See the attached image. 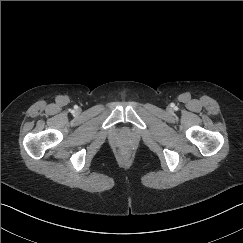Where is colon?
Returning a JSON list of instances; mask_svg holds the SVG:
<instances>
[{
    "mask_svg": "<svg viewBox=\"0 0 243 243\" xmlns=\"http://www.w3.org/2000/svg\"><path fill=\"white\" fill-rule=\"evenodd\" d=\"M125 157L127 158V157H128V155H127V154H125Z\"/></svg>",
    "mask_w": 243,
    "mask_h": 243,
    "instance_id": "obj_1",
    "label": "colon"
}]
</instances>
